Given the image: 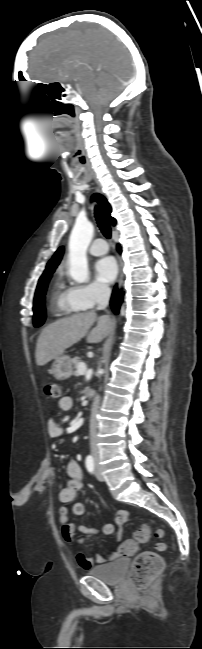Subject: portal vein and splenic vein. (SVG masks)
<instances>
[{
	"label": "portal vein and splenic vein",
	"mask_w": 202,
	"mask_h": 649,
	"mask_svg": "<svg viewBox=\"0 0 202 649\" xmlns=\"http://www.w3.org/2000/svg\"><path fill=\"white\" fill-rule=\"evenodd\" d=\"M87 371L86 365L84 363H80L78 365V372L80 375H84Z\"/></svg>",
	"instance_id": "1"
}]
</instances>
